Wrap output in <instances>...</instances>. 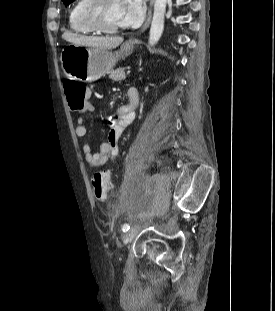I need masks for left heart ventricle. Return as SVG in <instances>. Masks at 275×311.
Returning <instances> with one entry per match:
<instances>
[{
    "label": "left heart ventricle",
    "instance_id": "1",
    "mask_svg": "<svg viewBox=\"0 0 275 311\" xmlns=\"http://www.w3.org/2000/svg\"><path fill=\"white\" fill-rule=\"evenodd\" d=\"M122 0H109L103 12V20L108 26H122Z\"/></svg>",
    "mask_w": 275,
    "mask_h": 311
}]
</instances>
